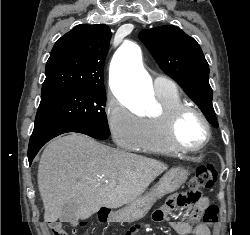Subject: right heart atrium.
<instances>
[{
    "label": "right heart atrium",
    "mask_w": 250,
    "mask_h": 235,
    "mask_svg": "<svg viewBox=\"0 0 250 235\" xmlns=\"http://www.w3.org/2000/svg\"><path fill=\"white\" fill-rule=\"evenodd\" d=\"M105 117L113 140L122 148L135 150L143 138V118L113 96L107 100Z\"/></svg>",
    "instance_id": "right-heart-atrium-1"
}]
</instances>
